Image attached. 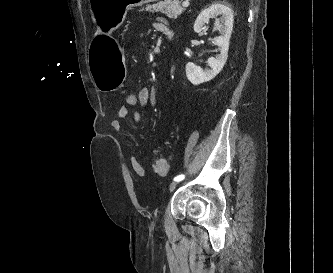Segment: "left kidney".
Masks as SVG:
<instances>
[{"mask_svg": "<svg viewBox=\"0 0 333 273\" xmlns=\"http://www.w3.org/2000/svg\"><path fill=\"white\" fill-rule=\"evenodd\" d=\"M221 15L220 36L214 39V44L218 47L220 54L207 60V64L211 69L203 70L192 62L186 64L187 79L193 84L198 85L212 80L223 69L229 50V41L233 30V11L228 5L214 3L208 8L202 10L194 23V31L200 33L203 26L209 22L211 18Z\"/></svg>", "mask_w": 333, "mask_h": 273, "instance_id": "5707ae66", "label": "left kidney"}]
</instances>
